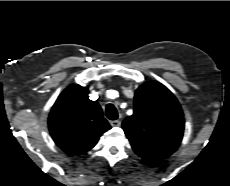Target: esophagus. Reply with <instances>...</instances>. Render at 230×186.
I'll use <instances>...</instances> for the list:
<instances>
[{"instance_id":"1","label":"esophagus","mask_w":230,"mask_h":186,"mask_svg":"<svg viewBox=\"0 0 230 186\" xmlns=\"http://www.w3.org/2000/svg\"><path fill=\"white\" fill-rule=\"evenodd\" d=\"M110 124L113 127H119L121 125V121L120 120H113V121L110 122Z\"/></svg>"}]
</instances>
